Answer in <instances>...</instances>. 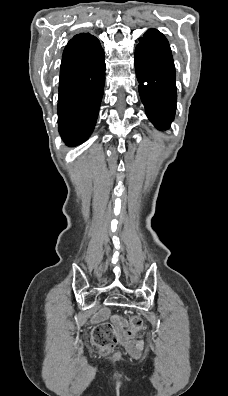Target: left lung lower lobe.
Masks as SVG:
<instances>
[{"instance_id": "0a47b994", "label": "left lung lower lobe", "mask_w": 228, "mask_h": 396, "mask_svg": "<svg viewBox=\"0 0 228 396\" xmlns=\"http://www.w3.org/2000/svg\"><path fill=\"white\" fill-rule=\"evenodd\" d=\"M135 49L139 93L150 121L160 130L168 129L175 116V66L167 39L150 29Z\"/></svg>"}]
</instances>
